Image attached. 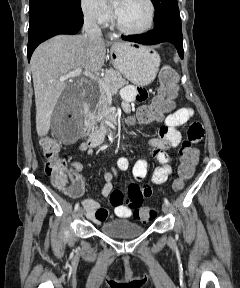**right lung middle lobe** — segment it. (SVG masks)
<instances>
[{
    "label": "right lung middle lobe",
    "mask_w": 240,
    "mask_h": 288,
    "mask_svg": "<svg viewBox=\"0 0 240 288\" xmlns=\"http://www.w3.org/2000/svg\"><path fill=\"white\" fill-rule=\"evenodd\" d=\"M29 30L32 31L42 21L55 17H83L80 0H30Z\"/></svg>",
    "instance_id": "dd1d6c3e"
}]
</instances>
